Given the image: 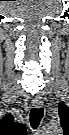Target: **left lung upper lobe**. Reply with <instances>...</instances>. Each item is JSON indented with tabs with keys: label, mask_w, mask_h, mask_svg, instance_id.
<instances>
[{
	"label": "left lung upper lobe",
	"mask_w": 69,
	"mask_h": 135,
	"mask_svg": "<svg viewBox=\"0 0 69 135\" xmlns=\"http://www.w3.org/2000/svg\"><path fill=\"white\" fill-rule=\"evenodd\" d=\"M59 114H60V118H66L69 115V109L66 105L60 103L59 104Z\"/></svg>",
	"instance_id": "5c2ea615"
}]
</instances>
